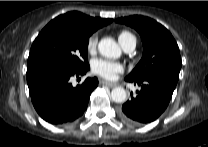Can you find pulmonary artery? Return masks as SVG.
I'll return each instance as SVG.
<instances>
[{
    "instance_id": "e3ab8cb5",
    "label": "pulmonary artery",
    "mask_w": 208,
    "mask_h": 147,
    "mask_svg": "<svg viewBox=\"0 0 208 147\" xmlns=\"http://www.w3.org/2000/svg\"><path fill=\"white\" fill-rule=\"evenodd\" d=\"M136 47V38L132 36L127 44L123 47L124 51L127 53H131Z\"/></svg>"
}]
</instances>
